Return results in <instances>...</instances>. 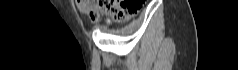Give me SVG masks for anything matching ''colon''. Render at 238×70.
<instances>
[{"instance_id":"colon-1","label":"colon","mask_w":238,"mask_h":70,"mask_svg":"<svg viewBox=\"0 0 238 70\" xmlns=\"http://www.w3.org/2000/svg\"><path fill=\"white\" fill-rule=\"evenodd\" d=\"M77 5L92 23H97L103 15L116 20L131 18L141 8V0H77Z\"/></svg>"}]
</instances>
